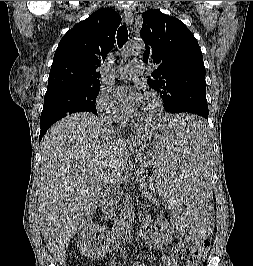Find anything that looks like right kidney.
<instances>
[{
	"label": "right kidney",
	"mask_w": 253,
	"mask_h": 266,
	"mask_svg": "<svg viewBox=\"0 0 253 266\" xmlns=\"http://www.w3.org/2000/svg\"><path fill=\"white\" fill-rule=\"evenodd\" d=\"M97 233L99 235L97 236ZM109 231L94 222L87 223L79 234L78 245L87 258L104 257L108 252Z\"/></svg>",
	"instance_id": "ca27d5eb"
}]
</instances>
